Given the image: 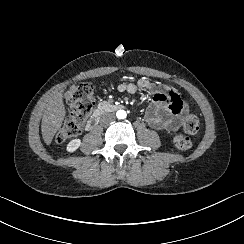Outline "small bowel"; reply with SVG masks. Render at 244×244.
Masks as SVG:
<instances>
[{
	"mask_svg": "<svg viewBox=\"0 0 244 244\" xmlns=\"http://www.w3.org/2000/svg\"><path fill=\"white\" fill-rule=\"evenodd\" d=\"M118 90L130 94L139 90L152 92L150 103L144 113V122L157 130H174L178 127L183 101L172 88L141 78L136 83L120 84Z\"/></svg>",
	"mask_w": 244,
	"mask_h": 244,
	"instance_id": "c3829d8e",
	"label": "small bowel"
}]
</instances>
